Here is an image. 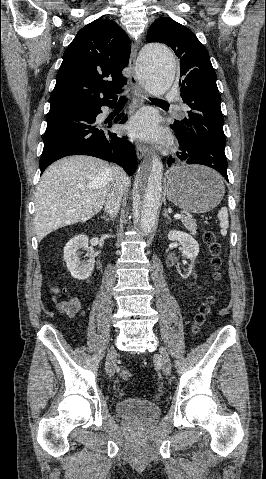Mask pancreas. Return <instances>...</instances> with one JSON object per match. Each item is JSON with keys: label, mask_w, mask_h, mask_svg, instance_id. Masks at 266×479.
I'll return each instance as SVG.
<instances>
[{"label": "pancreas", "mask_w": 266, "mask_h": 479, "mask_svg": "<svg viewBox=\"0 0 266 479\" xmlns=\"http://www.w3.org/2000/svg\"><path fill=\"white\" fill-rule=\"evenodd\" d=\"M181 221H182V224L185 226V228L191 234L197 233V224L195 219L187 217V216H182Z\"/></svg>", "instance_id": "cf45deb5"}]
</instances>
